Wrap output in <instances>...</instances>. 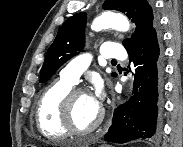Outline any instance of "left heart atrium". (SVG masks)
I'll return each mask as SVG.
<instances>
[{"instance_id":"39dd6f15","label":"left heart atrium","mask_w":183,"mask_h":147,"mask_svg":"<svg viewBox=\"0 0 183 147\" xmlns=\"http://www.w3.org/2000/svg\"><path fill=\"white\" fill-rule=\"evenodd\" d=\"M102 86L100 84H97L95 87L94 93L91 95L93 100L100 105V101L102 99Z\"/></svg>"}]
</instances>
